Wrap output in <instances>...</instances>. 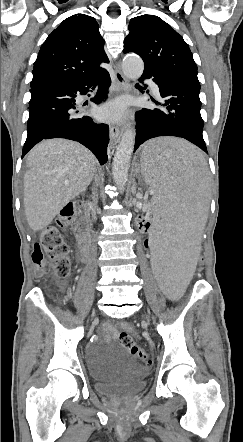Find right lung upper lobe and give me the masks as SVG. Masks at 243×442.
I'll use <instances>...</instances> for the list:
<instances>
[{
	"label": "right lung upper lobe",
	"mask_w": 243,
	"mask_h": 442,
	"mask_svg": "<svg viewBox=\"0 0 243 442\" xmlns=\"http://www.w3.org/2000/svg\"><path fill=\"white\" fill-rule=\"evenodd\" d=\"M108 63L95 18L77 14L65 19L43 43L34 63L31 85L51 80L84 79Z\"/></svg>",
	"instance_id": "cb5924a9"
}]
</instances>
